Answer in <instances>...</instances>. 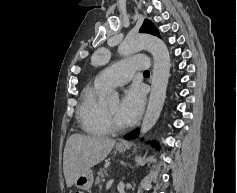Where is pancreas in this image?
<instances>
[{
	"label": "pancreas",
	"instance_id": "obj_1",
	"mask_svg": "<svg viewBox=\"0 0 237 193\" xmlns=\"http://www.w3.org/2000/svg\"><path fill=\"white\" fill-rule=\"evenodd\" d=\"M105 173H106V168H101L99 170L98 176L96 177V180H95V184H98L101 181V179L104 177Z\"/></svg>",
	"mask_w": 237,
	"mask_h": 193
}]
</instances>
